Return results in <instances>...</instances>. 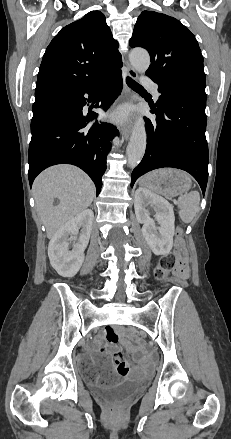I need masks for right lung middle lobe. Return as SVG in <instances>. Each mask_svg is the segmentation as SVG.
<instances>
[{
  "instance_id": "1",
  "label": "right lung middle lobe",
  "mask_w": 231,
  "mask_h": 439,
  "mask_svg": "<svg viewBox=\"0 0 231 439\" xmlns=\"http://www.w3.org/2000/svg\"><path fill=\"white\" fill-rule=\"evenodd\" d=\"M60 105L51 100L37 101L33 104V118H42L57 112Z\"/></svg>"
}]
</instances>
